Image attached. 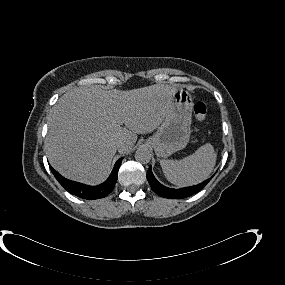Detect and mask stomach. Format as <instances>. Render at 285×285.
I'll return each mask as SVG.
<instances>
[{
    "label": "stomach",
    "instance_id": "stomach-1",
    "mask_svg": "<svg viewBox=\"0 0 285 285\" xmlns=\"http://www.w3.org/2000/svg\"><path fill=\"white\" fill-rule=\"evenodd\" d=\"M192 106L189 92L175 89L164 120L148 140L158 157H168L186 147L191 133Z\"/></svg>",
    "mask_w": 285,
    "mask_h": 285
}]
</instances>
